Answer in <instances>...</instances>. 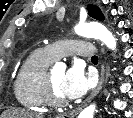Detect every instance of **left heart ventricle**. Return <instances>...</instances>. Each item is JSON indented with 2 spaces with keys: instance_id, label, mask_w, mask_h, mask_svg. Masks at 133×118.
<instances>
[{
  "instance_id": "b2bd125f",
  "label": "left heart ventricle",
  "mask_w": 133,
  "mask_h": 118,
  "mask_svg": "<svg viewBox=\"0 0 133 118\" xmlns=\"http://www.w3.org/2000/svg\"><path fill=\"white\" fill-rule=\"evenodd\" d=\"M64 74H65L64 71H60V70H54L49 73L53 91L55 95H57L60 98H65L60 89Z\"/></svg>"
}]
</instances>
